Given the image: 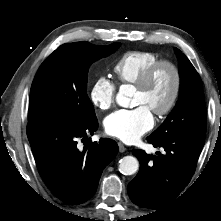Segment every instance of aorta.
<instances>
[{"label":"aorta","mask_w":221,"mask_h":221,"mask_svg":"<svg viewBox=\"0 0 221 221\" xmlns=\"http://www.w3.org/2000/svg\"><path fill=\"white\" fill-rule=\"evenodd\" d=\"M130 90L122 86L116 96V102L122 107L129 106ZM139 168L138 160L133 156H125L119 161V171L124 175H133Z\"/></svg>","instance_id":"aorta-1"}]
</instances>
